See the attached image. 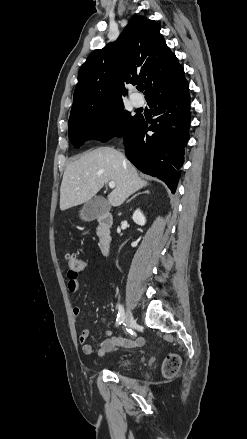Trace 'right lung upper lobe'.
Returning a JSON list of instances; mask_svg holds the SVG:
<instances>
[{
    "label": "right lung upper lobe",
    "mask_w": 247,
    "mask_h": 439,
    "mask_svg": "<svg viewBox=\"0 0 247 439\" xmlns=\"http://www.w3.org/2000/svg\"><path fill=\"white\" fill-rule=\"evenodd\" d=\"M183 67L166 45L160 26L134 17L118 40L95 50L81 66L70 117L121 102L126 85L144 82L145 99L186 82Z\"/></svg>",
    "instance_id": "cb5924a9"
}]
</instances>
